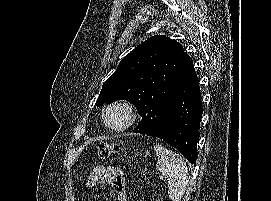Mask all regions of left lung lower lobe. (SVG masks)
Here are the masks:
<instances>
[{"mask_svg": "<svg viewBox=\"0 0 271 201\" xmlns=\"http://www.w3.org/2000/svg\"><path fill=\"white\" fill-rule=\"evenodd\" d=\"M202 102L198 77L192 59L187 54L183 78L164 116L163 127L155 136L175 147L192 164L197 159ZM133 132L144 134L138 125Z\"/></svg>", "mask_w": 271, "mask_h": 201, "instance_id": "obj_1", "label": "left lung lower lobe"}]
</instances>
